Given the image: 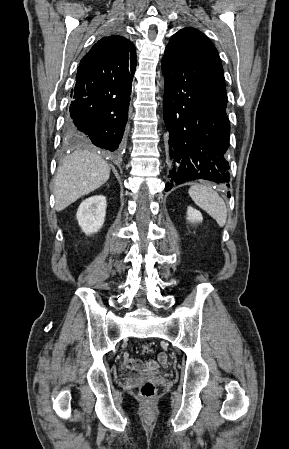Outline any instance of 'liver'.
Listing matches in <instances>:
<instances>
[{"mask_svg": "<svg viewBox=\"0 0 289 449\" xmlns=\"http://www.w3.org/2000/svg\"><path fill=\"white\" fill-rule=\"evenodd\" d=\"M109 176L108 164L97 154L79 150L64 157L55 178V209L64 210L102 186Z\"/></svg>", "mask_w": 289, "mask_h": 449, "instance_id": "1", "label": "liver"}]
</instances>
